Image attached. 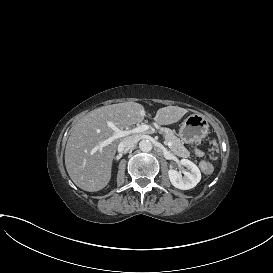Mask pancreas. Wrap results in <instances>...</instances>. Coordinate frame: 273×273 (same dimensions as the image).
Instances as JSON below:
<instances>
[{"label": "pancreas", "mask_w": 273, "mask_h": 273, "mask_svg": "<svg viewBox=\"0 0 273 273\" xmlns=\"http://www.w3.org/2000/svg\"><path fill=\"white\" fill-rule=\"evenodd\" d=\"M159 132L164 134L166 141H171L173 147L169 146V149L177 156L187 158L190 155V152L184 147L180 139L176 137L173 131L169 128L160 127Z\"/></svg>", "instance_id": "obj_1"}]
</instances>
